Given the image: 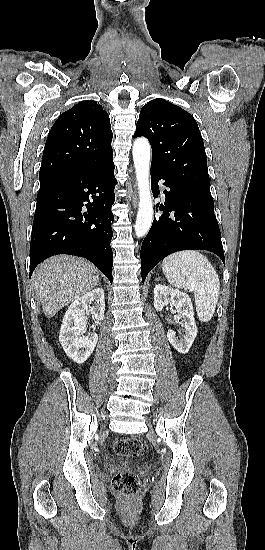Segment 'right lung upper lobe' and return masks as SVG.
I'll return each mask as SVG.
<instances>
[{"label": "right lung upper lobe", "instance_id": "1", "mask_svg": "<svg viewBox=\"0 0 265 550\" xmlns=\"http://www.w3.org/2000/svg\"><path fill=\"white\" fill-rule=\"evenodd\" d=\"M110 119L95 101H83L60 115L46 140L40 187L103 167L113 160Z\"/></svg>", "mask_w": 265, "mask_h": 550}]
</instances>
